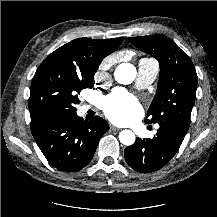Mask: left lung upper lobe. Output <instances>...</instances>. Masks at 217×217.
<instances>
[{
    "instance_id": "1",
    "label": "left lung upper lobe",
    "mask_w": 217,
    "mask_h": 217,
    "mask_svg": "<svg viewBox=\"0 0 217 217\" xmlns=\"http://www.w3.org/2000/svg\"><path fill=\"white\" fill-rule=\"evenodd\" d=\"M129 41L155 57L160 64L157 92L148 109L146 123L175 122L190 126L198 77L190 58L175 42L163 35L129 38Z\"/></svg>"
}]
</instances>
